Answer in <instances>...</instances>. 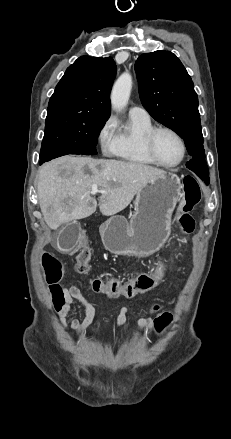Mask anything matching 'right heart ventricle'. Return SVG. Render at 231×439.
I'll return each instance as SVG.
<instances>
[{
  "mask_svg": "<svg viewBox=\"0 0 231 439\" xmlns=\"http://www.w3.org/2000/svg\"><path fill=\"white\" fill-rule=\"evenodd\" d=\"M153 128L150 119L129 117L126 125L117 131V146L113 153L115 157L138 166H153L155 163L147 156L143 139Z\"/></svg>",
  "mask_w": 231,
  "mask_h": 439,
  "instance_id": "right-heart-ventricle-1",
  "label": "right heart ventricle"
}]
</instances>
